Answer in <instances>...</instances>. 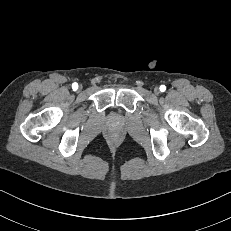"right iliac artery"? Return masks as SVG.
Returning <instances> with one entry per match:
<instances>
[{
	"label": "right iliac artery",
	"mask_w": 231,
	"mask_h": 231,
	"mask_svg": "<svg viewBox=\"0 0 231 231\" xmlns=\"http://www.w3.org/2000/svg\"><path fill=\"white\" fill-rule=\"evenodd\" d=\"M72 88H73L74 90H76V89L78 88V84H77V83H73V84H72Z\"/></svg>",
	"instance_id": "82829eb1"
}]
</instances>
